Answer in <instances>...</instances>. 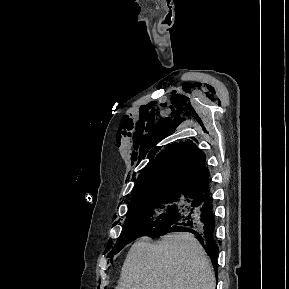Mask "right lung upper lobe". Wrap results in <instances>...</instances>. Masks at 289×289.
Instances as JSON below:
<instances>
[{"label": "right lung upper lobe", "instance_id": "right-lung-upper-lobe-1", "mask_svg": "<svg viewBox=\"0 0 289 289\" xmlns=\"http://www.w3.org/2000/svg\"><path fill=\"white\" fill-rule=\"evenodd\" d=\"M135 180L132 199L166 193L198 196L209 190L210 183L205 154L192 142L164 149Z\"/></svg>", "mask_w": 289, "mask_h": 289}]
</instances>
